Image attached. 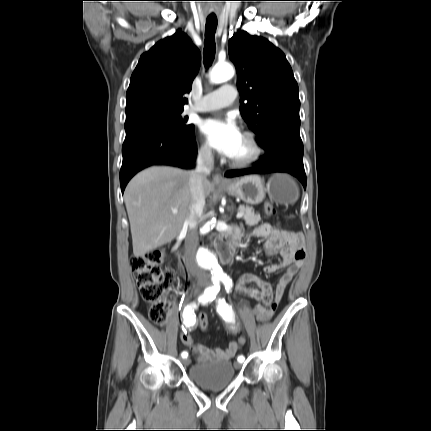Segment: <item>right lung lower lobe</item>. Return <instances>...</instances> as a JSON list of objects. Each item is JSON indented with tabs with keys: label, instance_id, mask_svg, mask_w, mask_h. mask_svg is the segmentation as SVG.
Returning <instances> with one entry per match:
<instances>
[{
	"label": "right lung lower lobe",
	"instance_id": "obj_1",
	"mask_svg": "<svg viewBox=\"0 0 431 431\" xmlns=\"http://www.w3.org/2000/svg\"><path fill=\"white\" fill-rule=\"evenodd\" d=\"M120 170L121 191L140 170L152 165L192 168L197 155L194 130L189 133L155 126L126 133Z\"/></svg>",
	"mask_w": 431,
	"mask_h": 431
}]
</instances>
